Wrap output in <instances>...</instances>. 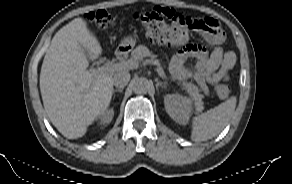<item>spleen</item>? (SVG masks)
Listing matches in <instances>:
<instances>
[{"instance_id": "1", "label": "spleen", "mask_w": 292, "mask_h": 184, "mask_svg": "<svg viewBox=\"0 0 292 184\" xmlns=\"http://www.w3.org/2000/svg\"><path fill=\"white\" fill-rule=\"evenodd\" d=\"M236 102V97L232 96L213 109L194 116L191 121V139L195 142L206 141L219 134L234 113Z\"/></svg>"}]
</instances>
